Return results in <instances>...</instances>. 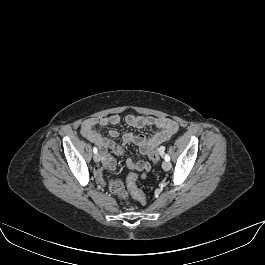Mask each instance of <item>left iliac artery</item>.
I'll return each instance as SVG.
<instances>
[{
    "instance_id": "obj_1",
    "label": "left iliac artery",
    "mask_w": 265,
    "mask_h": 265,
    "mask_svg": "<svg viewBox=\"0 0 265 265\" xmlns=\"http://www.w3.org/2000/svg\"><path fill=\"white\" fill-rule=\"evenodd\" d=\"M164 159H165V161H170V156L168 154H166Z\"/></svg>"
}]
</instances>
